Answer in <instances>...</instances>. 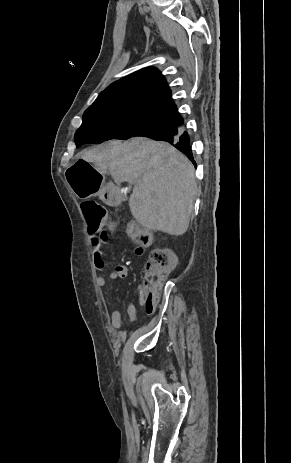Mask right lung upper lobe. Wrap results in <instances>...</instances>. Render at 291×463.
I'll return each mask as SVG.
<instances>
[{
    "label": "right lung upper lobe",
    "mask_w": 291,
    "mask_h": 463,
    "mask_svg": "<svg viewBox=\"0 0 291 463\" xmlns=\"http://www.w3.org/2000/svg\"><path fill=\"white\" fill-rule=\"evenodd\" d=\"M88 109L139 113L183 124L165 78L153 67L143 68L112 83Z\"/></svg>",
    "instance_id": "obj_1"
}]
</instances>
